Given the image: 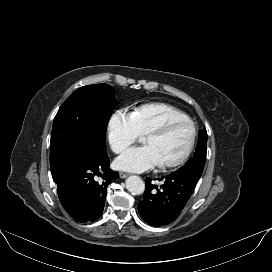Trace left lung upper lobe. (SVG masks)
Here are the masks:
<instances>
[{
    "label": "left lung upper lobe",
    "mask_w": 272,
    "mask_h": 272,
    "mask_svg": "<svg viewBox=\"0 0 272 272\" xmlns=\"http://www.w3.org/2000/svg\"><path fill=\"white\" fill-rule=\"evenodd\" d=\"M206 147H207V131L202 129L199 131V139L194 156L188 160V162L175 171L177 174H191L200 177L205 161H206Z\"/></svg>",
    "instance_id": "left-lung-upper-lobe-1"
}]
</instances>
